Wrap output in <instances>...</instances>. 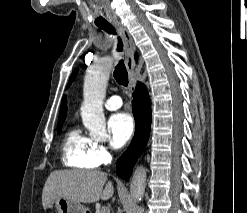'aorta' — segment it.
I'll return each mask as SVG.
<instances>
[{"label":"aorta","mask_w":247,"mask_h":213,"mask_svg":"<svg viewBox=\"0 0 247 213\" xmlns=\"http://www.w3.org/2000/svg\"><path fill=\"white\" fill-rule=\"evenodd\" d=\"M112 69V60L103 58L90 67L85 75L81 117L84 126L90 135L97 137L106 132L105 116L103 113V100L106 86ZM146 170L138 167L130 183V192L136 201H141L145 193Z\"/></svg>","instance_id":"obj_1"}]
</instances>
